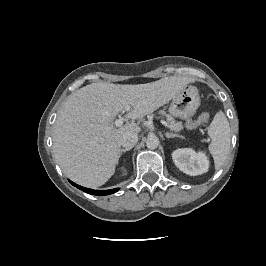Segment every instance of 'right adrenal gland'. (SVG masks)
<instances>
[{"mask_svg":"<svg viewBox=\"0 0 266 266\" xmlns=\"http://www.w3.org/2000/svg\"><path fill=\"white\" fill-rule=\"evenodd\" d=\"M130 149H121V155L124 154L126 151H129Z\"/></svg>","mask_w":266,"mask_h":266,"instance_id":"obj_1","label":"right adrenal gland"}]
</instances>
